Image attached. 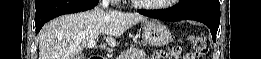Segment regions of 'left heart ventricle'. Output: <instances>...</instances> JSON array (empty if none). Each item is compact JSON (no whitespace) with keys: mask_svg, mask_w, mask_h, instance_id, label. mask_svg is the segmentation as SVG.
<instances>
[{"mask_svg":"<svg viewBox=\"0 0 261 59\" xmlns=\"http://www.w3.org/2000/svg\"><path fill=\"white\" fill-rule=\"evenodd\" d=\"M145 3H166V0H151V1H143Z\"/></svg>","mask_w":261,"mask_h":59,"instance_id":"b2bd125f","label":"left heart ventricle"}]
</instances>
